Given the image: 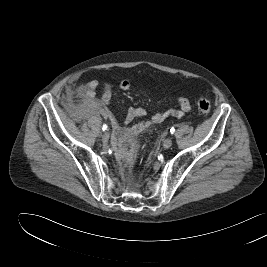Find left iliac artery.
<instances>
[{
    "label": "left iliac artery",
    "mask_w": 267,
    "mask_h": 267,
    "mask_svg": "<svg viewBox=\"0 0 267 267\" xmlns=\"http://www.w3.org/2000/svg\"><path fill=\"white\" fill-rule=\"evenodd\" d=\"M170 133H171V134H174V133H175V128H174V127H172V128L170 129Z\"/></svg>",
    "instance_id": "left-iliac-artery-1"
}]
</instances>
